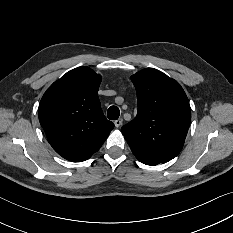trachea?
<instances>
[{
    "label": "trachea",
    "instance_id": "3493384b",
    "mask_svg": "<svg viewBox=\"0 0 233 233\" xmlns=\"http://www.w3.org/2000/svg\"><path fill=\"white\" fill-rule=\"evenodd\" d=\"M120 115V110L117 106H111L107 110V117L110 120H117Z\"/></svg>",
    "mask_w": 233,
    "mask_h": 233
}]
</instances>
